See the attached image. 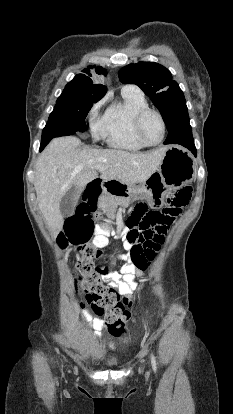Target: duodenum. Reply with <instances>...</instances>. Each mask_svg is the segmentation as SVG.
<instances>
[{
	"label": "duodenum",
	"mask_w": 233,
	"mask_h": 414,
	"mask_svg": "<svg viewBox=\"0 0 233 414\" xmlns=\"http://www.w3.org/2000/svg\"><path fill=\"white\" fill-rule=\"evenodd\" d=\"M116 186H121L118 182L113 180L97 179L89 183L87 187V195L84 196L82 205L88 212L95 210V205L101 193L107 192L114 195Z\"/></svg>",
	"instance_id": "duodenum-1"
}]
</instances>
